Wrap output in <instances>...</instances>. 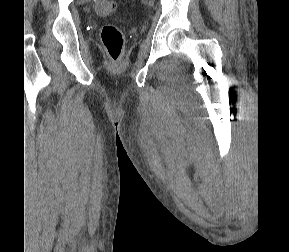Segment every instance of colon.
Segmentation results:
<instances>
[{"label":"colon","mask_w":289,"mask_h":252,"mask_svg":"<svg viewBox=\"0 0 289 252\" xmlns=\"http://www.w3.org/2000/svg\"><path fill=\"white\" fill-rule=\"evenodd\" d=\"M116 9L114 0H98L96 11L100 15H109ZM104 48L113 63H118L123 54L124 35L119 27L113 24H105L100 31Z\"/></svg>","instance_id":"5ec220e1"}]
</instances>
